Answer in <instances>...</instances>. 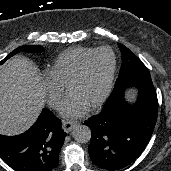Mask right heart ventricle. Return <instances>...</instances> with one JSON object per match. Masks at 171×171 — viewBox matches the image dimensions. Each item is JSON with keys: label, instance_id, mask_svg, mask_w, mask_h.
I'll return each instance as SVG.
<instances>
[{"label": "right heart ventricle", "instance_id": "right-heart-ventricle-1", "mask_svg": "<svg viewBox=\"0 0 171 171\" xmlns=\"http://www.w3.org/2000/svg\"><path fill=\"white\" fill-rule=\"evenodd\" d=\"M93 50V48L85 47L68 49L56 57L48 72H50L60 83L66 86L78 66Z\"/></svg>", "mask_w": 171, "mask_h": 171}]
</instances>
